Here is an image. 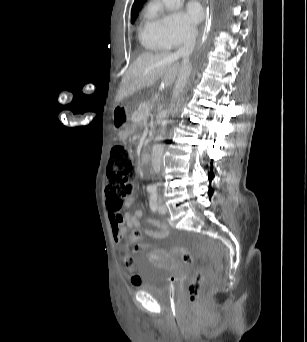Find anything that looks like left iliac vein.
<instances>
[{"instance_id": "left-iliac-vein-1", "label": "left iliac vein", "mask_w": 307, "mask_h": 342, "mask_svg": "<svg viewBox=\"0 0 307 342\" xmlns=\"http://www.w3.org/2000/svg\"><path fill=\"white\" fill-rule=\"evenodd\" d=\"M158 211L161 213V214H165L167 212V207L165 206V204L163 203L162 200L159 201V204H158Z\"/></svg>"}]
</instances>
